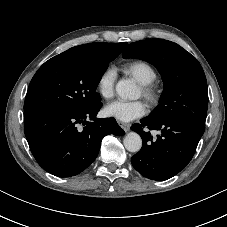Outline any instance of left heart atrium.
I'll return each mask as SVG.
<instances>
[{
    "label": "left heart atrium",
    "mask_w": 227,
    "mask_h": 227,
    "mask_svg": "<svg viewBox=\"0 0 227 227\" xmlns=\"http://www.w3.org/2000/svg\"><path fill=\"white\" fill-rule=\"evenodd\" d=\"M146 112V106L141 101H123L116 100L104 108V113L121 122H129L143 116Z\"/></svg>",
    "instance_id": "left-heart-atrium-1"
}]
</instances>
